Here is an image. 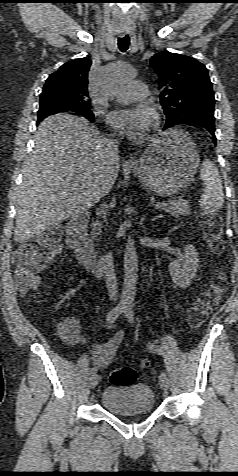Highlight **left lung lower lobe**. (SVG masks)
<instances>
[{"label": "left lung lower lobe", "mask_w": 238, "mask_h": 476, "mask_svg": "<svg viewBox=\"0 0 238 476\" xmlns=\"http://www.w3.org/2000/svg\"><path fill=\"white\" fill-rule=\"evenodd\" d=\"M194 125H200L204 128H206L211 134H212V137L211 139L213 140L214 144H216V136L214 134V131H215V125H214V121H198V122H195V123H192ZM166 129V128H164Z\"/></svg>", "instance_id": "1"}]
</instances>
